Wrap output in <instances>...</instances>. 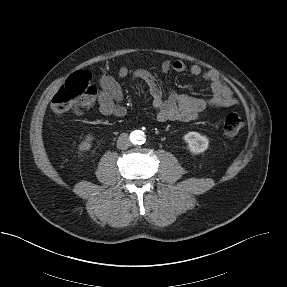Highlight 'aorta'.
Masks as SVG:
<instances>
[{
  "label": "aorta",
  "instance_id": "762f6f07",
  "mask_svg": "<svg viewBox=\"0 0 287 287\" xmlns=\"http://www.w3.org/2000/svg\"><path fill=\"white\" fill-rule=\"evenodd\" d=\"M130 138H131L132 142L135 144H141V143H144V141H145L144 133L142 131H139V130L133 131L130 135Z\"/></svg>",
  "mask_w": 287,
  "mask_h": 287
}]
</instances>
